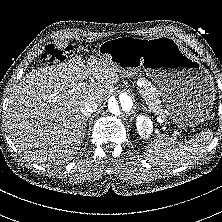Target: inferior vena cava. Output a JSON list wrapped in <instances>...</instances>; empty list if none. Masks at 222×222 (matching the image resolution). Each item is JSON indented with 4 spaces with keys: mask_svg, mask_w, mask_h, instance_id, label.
I'll return each instance as SVG.
<instances>
[{
    "mask_svg": "<svg viewBox=\"0 0 222 222\" xmlns=\"http://www.w3.org/2000/svg\"><path fill=\"white\" fill-rule=\"evenodd\" d=\"M98 107V104L94 100H87L84 102L83 107L81 109V113L84 116H89L92 112H94Z\"/></svg>",
    "mask_w": 222,
    "mask_h": 222,
    "instance_id": "inferior-vena-cava-1",
    "label": "inferior vena cava"
}]
</instances>
